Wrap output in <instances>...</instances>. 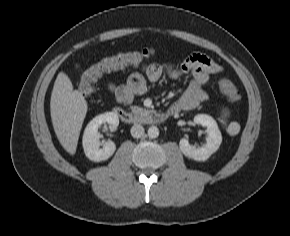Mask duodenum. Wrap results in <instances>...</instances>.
Here are the masks:
<instances>
[{"instance_id":"duodenum-1","label":"duodenum","mask_w":290,"mask_h":236,"mask_svg":"<svg viewBox=\"0 0 290 236\" xmlns=\"http://www.w3.org/2000/svg\"><path fill=\"white\" fill-rule=\"evenodd\" d=\"M114 113L127 124H161L166 121L168 115L157 111L135 112L122 108H115Z\"/></svg>"}]
</instances>
